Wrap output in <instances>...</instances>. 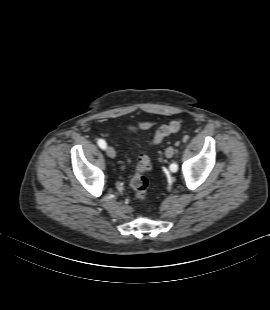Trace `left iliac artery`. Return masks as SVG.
<instances>
[{
	"mask_svg": "<svg viewBox=\"0 0 270 310\" xmlns=\"http://www.w3.org/2000/svg\"><path fill=\"white\" fill-rule=\"evenodd\" d=\"M177 169H178V165H177L175 162L172 163L171 166H170V170H171L172 172H176Z\"/></svg>",
	"mask_w": 270,
	"mask_h": 310,
	"instance_id": "1",
	"label": "left iliac artery"
}]
</instances>
